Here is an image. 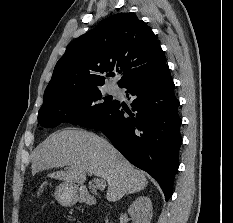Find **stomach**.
Listing matches in <instances>:
<instances>
[{"label":"stomach","instance_id":"stomach-1","mask_svg":"<svg viewBox=\"0 0 233 223\" xmlns=\"http://www.w3.org/2000/svg\"><path fill=\"white\" fill-rule=\"evenodd\" d=\"M54 197L58 203L65 205V207H72L76 205L80 197H85V191L80 193L78 185L76 183H68V181H62L57 187H55Z\"/></svg>","mask_w":233,"mask_h":223}]
</instances>
